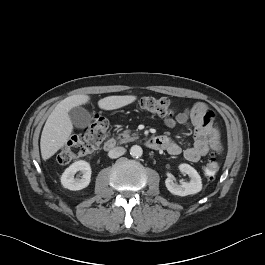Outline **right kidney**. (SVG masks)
<instances>
[{
	"mask_svg": "<svg viewBox=\"0 0 265 265\" xmlns=\"http://www.w3.org/2000/svg\"><path fill=\"white\" fill-rule=\"evenodd\" d=\"M80 171L81 178H74V175ZM90 164L84 160H79L65 169L61 176V184L64 188L77 191L86 188L91 181Z\"/></svg>",
	"mask_w": 265,
	"mask_h": 265,
	"instance_id": "right-kidney-1",
	"label": "right kidney"
}]
</instances>
